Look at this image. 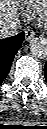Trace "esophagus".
<instances>
[{
	"mask_svg": "<svg viewBox=\"0 0 47 129\" xmlns=\"http://www.w3.org/2000/svg\"><path fill=\"white\" fill-rule=\"evenodd\" d=\"M35 36V32L31 28H27L25 30V39L26 41H30Z\"/></svg>",
	"mask_w": 47,
	"mask_h": 129,
	"instance_id": "esophagus-1",
	"label": "esophagus"
}]
</instances>
